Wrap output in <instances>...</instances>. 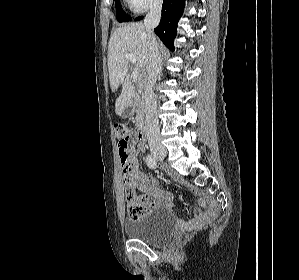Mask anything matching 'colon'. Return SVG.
I'll return each mask as SVG.
<instances>
[{
  "mask_svg": "<svg viewBox=\"0 0 299 280\" xmlns=\"http://www.w3.org/2000/svg\"><path fill=\"white\" fill-rule=\"evenodd\" d=\"M115 130L118 140L120 162L124 173V179L127 182L128 173L130 171L129 149L131 147L133 137L130 129L125 125H117ZM125 199L127 214L130 218L139 219L148 212L147 205L137 197L134 189L129 185H127L125 190Z\"/></svg>",
  "mask_w": 299,
  "mask_h": 280,
  "instance_id": "colon-1",
  "label": "colon"
}]
</instances>
